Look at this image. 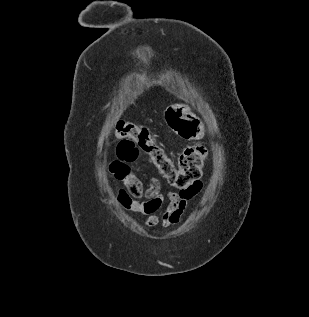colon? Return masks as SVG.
<instances>
[{"mask_svg":"<svg viewBox=\"0 0 309 317\" xmlns=\"http://www.w3.org/2000/svg\"><path fill=\"white\" fill-rule=\"evenodd\" d=\"M168 125L184 138H194L199 133V121L184 106H171L166 111ZM115 136L120 140L118 149L129 145L131 152L125 156L135 161L143 154L152 157L154 163L168 182L180 191L191 188L202 176V168L207 150L202 145L185 148L176 164L168 158L155 142L154 134L145 126L121 122L116 127Z\"/></svg>","mask_w":309,"mask_h":317,"instance_id":"obj_1","label":"colon"}]
</instances>
